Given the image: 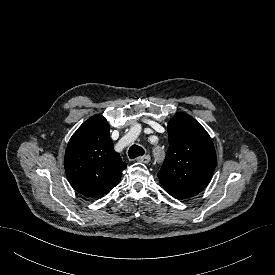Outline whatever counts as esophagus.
<instances>
[{
    "label": "esophagus",
    "instance_id": "obj_1",
    "mask_svg": "<svg viewBox=\"0 0 275 275\" xmlns=\"http://www.w3.org/2000/svg\"><path fill=\"white\" fill-rule=\"evenodd\" d=\"M136 160H137L138 162L147 164V163L150 162L151 157H150L149 155H143V156H139Z\"/></svg>",
    "mask_w": 275,
    "mask_h": 275
}]
</instances>
